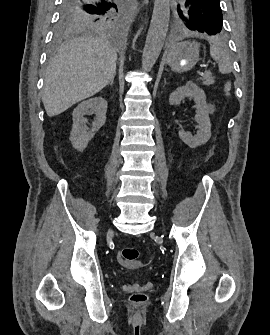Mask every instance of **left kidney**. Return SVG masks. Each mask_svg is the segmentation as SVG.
I'll return each mask as SVG.
<instances>
[{"mask_svg": "<svg viewBox=\"0 0 270 335\" xmlns=\"http://www.w3.org/2000/svg\"><path fill=\"white\" fill-rule=\"evenodd\" d=\"M183 98H194L196 104V116L195 120L198 124V132L196 136L184 132V130H179V138H181L184 144H187L189 148H197V146H202L206 144L211 138V124L209 118V112L206 104V94L198 88L194 82H187L186 86H181L177 88L175 92H172L169 96V102L171 106H179Z\"/></svg>", "mask_w": 270, "mask_h": 335, "instance_id": "5707ae66", "label": "left kidney"}]
</instances>
